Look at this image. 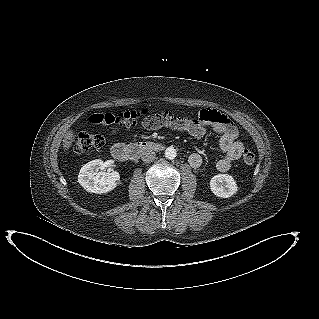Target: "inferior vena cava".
Masks as SVG:
<instances>
[{"label": "inferior vena cava", "instance_id": "602c4592", "mask_svg": "<svg viewBox=\"0 0 319 319\" xmlns=\"http://www.w3.org/2000/svg\"><path fill=\"white\" fill-rule=\"evenodd\" d=\"M155 157H156V154L152 150H146L141 155V159L145 163L152 162L155 159Z\"/></svg>", "mask_w": 319, "mask_h": 319}]
</instances>
